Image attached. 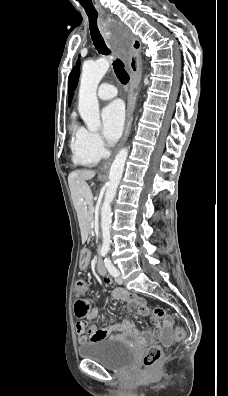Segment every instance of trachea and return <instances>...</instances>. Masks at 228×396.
I'll return each instance as SVG.
<instances>
[{"label":"trachea","mask_w":228,"mask_h":396,"mask_svg":"<svg viewBox=\"0 0 228 396\" xmlns=\"http://www.w3.org/2000/svg\"><path fill=\"white\" fill-rule=\"evenodd\" d=\"M86 14L89 18V29H90L92 41H93V44H94L96 50L98 51L99 54L110 55L111 51L107 47L99 29H98V26H97V18H98L97 11L96 10L86 11ZM112 65H113L114 72H115L117 78L119 79V81L122 84L128 83L129 75L124 69V63L121 60L116 59L113 61Z\"/></svg>","instance_id":"trachea-1"}]
</instances>
